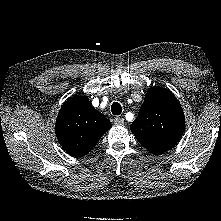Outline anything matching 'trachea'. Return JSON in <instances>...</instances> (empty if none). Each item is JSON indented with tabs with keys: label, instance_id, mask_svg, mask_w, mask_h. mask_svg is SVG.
<instances>
[{
	"label": "trachea",
	"instance_id": "obj_1",
	"mask_svg": "<svg viewBox=\"0 0 221 221\" xmlns=\"http://www.w3.org/2000/svg\"><path fill=\"white\" fill-rule=\"evenodd\" d=\"M111 111L113 115H120L122 113V106L119 103L114 102L111 105Z\"/></svg>",
	"mask_w": 221,
	"mask_h": 221
}]
</instances>
